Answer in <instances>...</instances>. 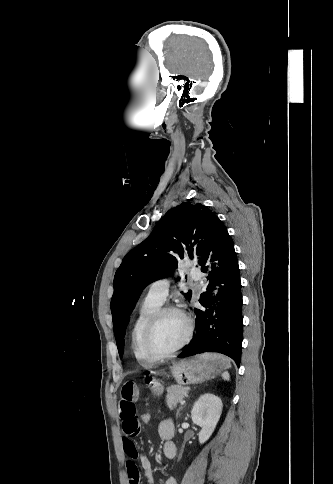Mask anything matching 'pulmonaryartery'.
<instances>
[{"label":"pulmonary artery","instance_id":"e3ab8cb5","mask_svg":"<svg viewBox=\"0 0 333 484\" xmlns=\"http://www.w3.org/2000/svg\"><path fill=\"white\" fill-rule=\"evenodd\" d=\"M190 274L194 280L200 279V272L198 270L192 269ZM169 286L170 281L168 279L157 280L149 287L147 297L162 304L168 295Z\"/></svg>","mask_w":333,"mask_h":484}]
</instances>
